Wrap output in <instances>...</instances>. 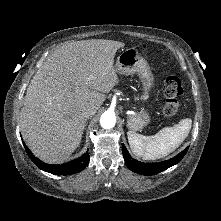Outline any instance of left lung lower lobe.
<instances>
[{
    "label": "left lung lower lobe",
    "instance_id": "left-lung-lower-lobe-1",
    "mask_svg": "<svg viewBox=\"0 0 221 221\" xmlns=\"http://www.w3.org/2000/svg\"><path fill=\"white\" fill-rule=\"evenodd\" d=\"M187 150L188 148L184 149L178 155L166 161L158 163H143L133 159L126 147L122 144L123 157L127 167L133 172L142 175H154L170 168L171 166L180 162V160L185 156Z\"/></svg>",
    "mask_w": 221,
    "mask_h": 221
}]
</instances>
